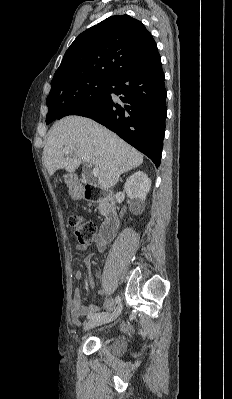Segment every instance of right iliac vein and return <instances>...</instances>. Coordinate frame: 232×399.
Here are the masks:
<instances>
[{
  "label": "right iliac vein",
  "instance_id": "right-iliac-vein-1",
  "mask_svg": "<svg viewBox=\"0 0 232 399\" xmlns=\"http://www.w3.org/2000/svg\"><path fill=\"white\" fill-rule=\"evenodd\" d=\"M124 303L120 302L118 308H115V311H113V314L111 315H102L98 319H94L93 321H86V327L85 330L92 329L94 326H101L102 323L109 324L112 322L113 319H118V316H120V313H122Z\"/></svg>",
  "mask_w": 232,
  "mask_h": 399
}]
</instances>
